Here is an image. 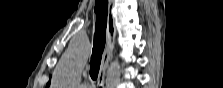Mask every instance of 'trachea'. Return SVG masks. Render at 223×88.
Segmentation results:
<instances>
[{"mask_svg": "<svg viewBox=\"0 0 223 88\" xmlns=\"http://www.w3.org/2000/svg\"><path fill=\"white\" fill-rule=\"evenodd\" d=\"M94 11L96 13V23L93 50L90 61V76L93 80H96L100 69L102 53L105 47L108 1L95 0Z\"/></svg>", "mask_w": 223, "mask_h": 88, "instance_id": "3493384b", "label": "trachea"}]
</instances>
